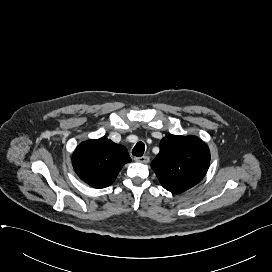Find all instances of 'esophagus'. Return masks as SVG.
<instances>
[{"label":"esophagus","mask_w":272,"mask_h":272,"mask_svg":"<svg viewBox=\"0 0 272 272\" xmlns=\"http://www.w3.org/2000/svg\"><path fill=\"white\" fill-rule=\"evenodd\" d=\"M135 161L140 163H148L150 161V158L148 156H141V157H136Z\"/></svg>","instance_id":"obj_1"}]
</instances>
